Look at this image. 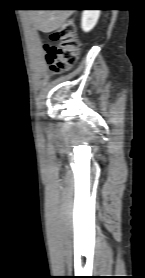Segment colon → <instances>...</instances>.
Listing matches in <instances>:
<instances>
[{"label":"colon","mask_w":145,"mask_h":278,"mask_svg":"<svg viewBox=\"0 0 145 278\" xmlns=\"http://www.w3.org/2000/svg\"><path fill=\"white\" fill-rule=\"evenodd\" d=\"M43 48L49 58L52 73L60 74L73 66L80 48L74 23L68 20L63 26L48 32V42Z\"/></svg>","instance_id":"colon-1"}]
</instances>
